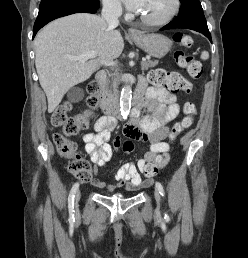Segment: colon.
<instances>
[{
  "label": "colon",
  "mask_w": 248,
  "mask_h": 258,
  "mask_svg": "<svg viewBox=\"0 0 248 258\" xmlns=\"http://www.w3.org/2000/svg\"><path fill=\"white\" fill-rule=\"evenodd\" d=\"M176 43L183 47H191L192 38L185 33L176 32L173 35ZM175 62L184 68L189 76L193 79H199L203 73L202 64L192 55H187L183 51H177L174 54ZM150 81L157 86L166 85L170 91H190L189 85L179 77L175 72H168L163 69L153 70L149 75ZM88 99L87 106L90 110L97 108L99 104L97 93L99 86L95 81H91L87 86ZM72 105L66 101L60 104L51 115V122L59 130L53 133L52 139L60 156L71 160L69 164L70 173L81 182H89L92 179L93 171L90 164L78 153L76 143L69 137L78 134L88 126V115H80L77 117H68ZM183 118L178 121L170 132V138L186 130L193 122L197 114L196 106L192 102H186L183 107ZM121 146L119 139L114 141V147L118 149ZM135 151V144H124L123 155L130 157ZM160 159H156L153 163L145 168V176L151 179L158 171Z\"/></svg>",
  "instance_id": "colon-1"
}]
</instances>
